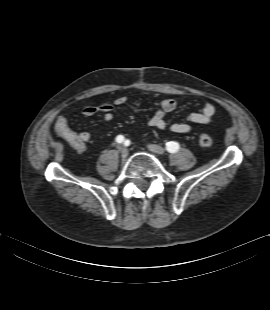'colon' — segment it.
Segmentation results:
<instances>
[{
	"mask_svg": "<svg viewBox=\"0 0 270 310\" xmlns=\"http://www.w3.org/2000/svg\"><path fill=\"white\" fill-rule=\"evenodd\" d=\"M56 127L58 132L64 138H66L73 147H81V141L79 137L75 133H73L65 123L58 121ZM213 141V137L208 133H201L198 136V142L201 147H210L212 146Z\"/></svg>",
	"mask_w": 270,
	"mask_h": 310,
	"instance_id": "1",
	"label": "colon"
}]
</instances>
